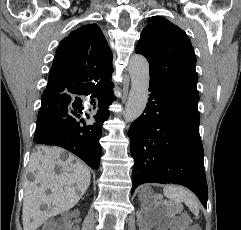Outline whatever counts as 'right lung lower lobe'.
Wrapping results in <instances>:
<instances>
[{"label":"right lung lower lobe","instance_id":"obj_1","mask_svg":"<svg viewBox=\"0 0 241 230\" xmlns=\"http://www.w3.org/2000/svg\"><path fill=\"white\" fill-rule=\"evenodd\" d=\"M110 80L97 83L71 84L59 93L44 90L37 117L34 141L37 144L56 145L74 153L92 169L99 167L102 147L99 143L102 125L110 115L108 107L115 100ZM90 101L95 115L86 113L82 104Z\"/></svg>","mask_w":241,"mask_h":230}]
</instances>
